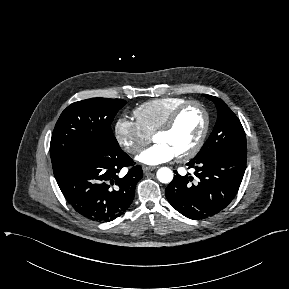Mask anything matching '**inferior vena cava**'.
<instances>
[{
  "label": "inferior vena cava",
  "mask_w": 289,
  "mask_h": 289,
  "mask_svg": "<svg viewBox=\"0 0 289 289\" xmlns=\"http://www.w3.org/2000/svg\"><path fill=\"white\" fill-rule=\"evenodd\" d=\"M138 150H139L138 148H135V147L132 148V151H133V152H137Z\"/></svg>",
  "instance_id": "inferior-vena-cava-1"
}]
</instances>
